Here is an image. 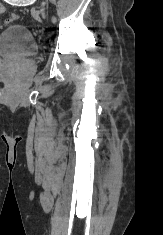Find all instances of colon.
<instances>
[{"mask_svg": "<svg viewBox=\"0 0 163 235\" xmlns=\"http://www.w3.org/2000/svg\"><path fill=\"white\" fill-rule=\"evenodd\" d=\"M17 20H18V15L15 14V13H12L5 19V23L6 24H11V23H13Z\"/></svg>", "mask_w": 163, "mask_h": 235, "instance_id": "1", "label": "colon"}]
</instances>
